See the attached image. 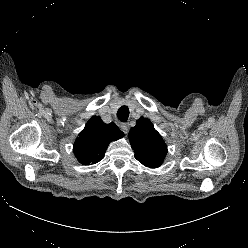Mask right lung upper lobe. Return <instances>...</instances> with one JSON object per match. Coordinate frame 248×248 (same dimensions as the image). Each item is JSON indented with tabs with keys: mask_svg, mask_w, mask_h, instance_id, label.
<instances>
[{
	"mask_svg": "<svg viewBox=\"0 0 248 248\" xmlns=\"http://www.w3.org/2000/svg\"><path fill=\"white\" fill-rule=\"evenodd\" d=\"M124 136V133L113 122L105 124L99 116H93L79 133L73 151L83 165L99 162L111 141Z\"/></svg>",
	"mask_w": 248,
	"mask_h": 248,
	"instance_id": "right-lung-upper-lobe-1",
	"label": "right lung upper lobe"
}]
</instances>
